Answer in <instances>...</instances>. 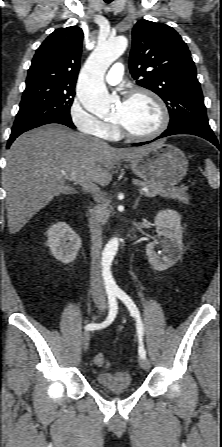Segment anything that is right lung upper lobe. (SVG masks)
<instances>
[{"instance_id": "right-lung-upper-lobe-1", "label": "right lung upper lobe", "mask_w": 222, "mask_h": 447, "mask_svg": "<svg viewBox=\"0 0 222 447\" xmlns=\"http://www.w3.org/2000/svg\"><path fill=\"white\" fill-rule=\"evenodd\" d=\"M82 39V29L77 26L60 28L50 34L32 60L26 88L42 85L75 88Z\"/></svg>"}]
</instances>
